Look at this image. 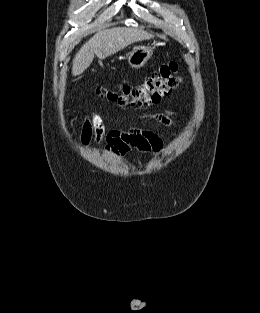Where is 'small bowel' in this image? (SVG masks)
I'll use <instances>...</instances> for the list:
<instances>
[{"instance_id":"c3829d8e","label":"small bowel","mask_w":260,"mask_h":313,"mask_svg":"<svg viewBox=\"0 0 260 313\" xmlns=\"http://www.w3.org/2000/svg\"><path fill=\"white\" fill-rule=\"evenodd\" d=\"M146 118L168 127H176L175 114L170 110L149 114ZM93 136L97 143L105 142L104 154L111 158L124 157L131 148H136L145 155H159L165 150V144L156 132L140 127L113 129L106 132L104 120L97 114H93L83 122L79 133L81 145L88 146Z\"/></svg>"}]
</instances>
